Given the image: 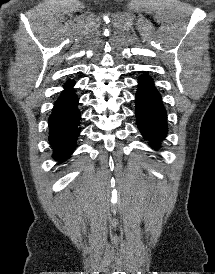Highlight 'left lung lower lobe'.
<instances>
[{
	"label": "left lung lower lobe",
	"instance_id": "1",
	"mask_svg": "<svg viewBox=\"0 0 215 274\" xmlns=\"http://www.w3.org/2000/svg\"><path fill=\"white\" fill-rule=\"evenodd\" d=\"M135 114L141 134L157 148L167 134V114L153 79L147 75L139 78Z\"/></svg>",
	"mask_w": 215,
	"mask_h": 274
}]
</instances>
